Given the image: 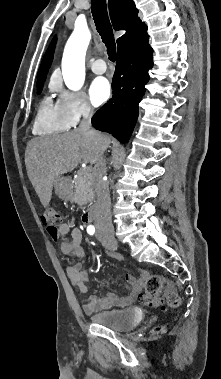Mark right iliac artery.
Instances as JSON below:
<instances>
[{
  "mask_svg": "<svg viewBox=\"0 0 221 379\" xmlns=\"http://www.w3.org/2000/svg\"><path fill=\"white\" fill-rule=\"evenodd\" d=\"M87 232H88V234L93 235L95 233L94 226H92V225L88 226L87 227Z\"/></svg>",
  "mask_w": 221,
  "mask_h": 379,
  "instance_id": "obj_1",
  "label": "right iliac artery"
}]
</instances>
